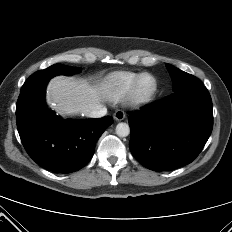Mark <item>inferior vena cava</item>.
<instances>
[{"label": "inferior vena cava", "instance_id": "602c4592", "mask_svg": "<svg viewBox=\"0 0 232 232\" xmlns=\"http://www.w3.org/2000/svg\"><path fill=\"white\" fill-rule=\"evenodd\" d=\"M107 113V108L103 105H98L90 110L85 111V115L90 118H100L105 116Z\"/></svg>", "mask_w": 232, "mask_h": 232}]
</instances>
